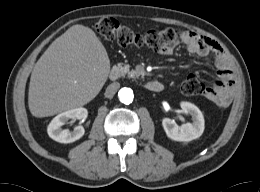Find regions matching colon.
<instances>
[{
    "instance_id": "obj_1",
    "label": "colon",
    "mask_w": 260,
    "mask_h": 192,
    "mask_svg": "<svg viewBox=\"0 0 260 192\" xmlns=\"http://www.w3.org/2000/svg\"><path fill=\"white\" fill-rule=\"evenodd\" d=\"M95 28L102 37L114 40L122 46L148 47L156 51L173 46L182 39L184 33L179 29L166 28L140 34L109 17L98 20ZM181 90L185 95H198L203 94L205 86L195 76L189 75L183 81Z\"/></svg>"
}]
</instances>
